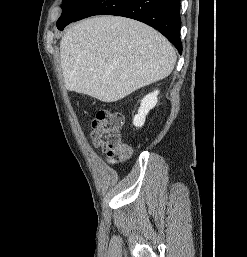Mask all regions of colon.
<instances>
[{
	"label": "colon",
	"instance_id": "colon-1",
	"mask_svg": "<svg viewBox=\"0 0 247 257\" xmlns=\"http://www.w3.org/2000/svg\"><path fill=\"white\" fill-rule=\"evenodd\" d=\"M123 116L107 109L97 111L92 121L91 140L108 157L126 159L131 155V148L120 138Z\"/></svg>",
	"mask_w": 247,
	"mask_h": 257
}]
</instances>
